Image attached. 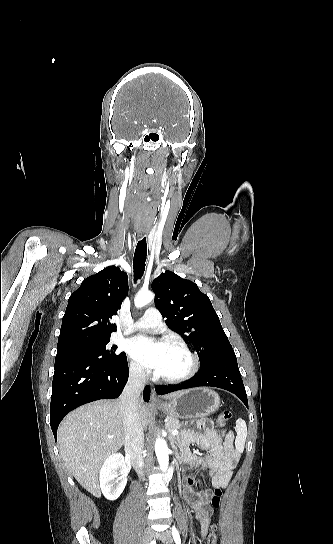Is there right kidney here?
I'll return each mask as SVG.
<instances>
[{"mask_svg": "<svg viewBox=\"0 0 333 544\" xmlns=\"http://www.w3.org/2000/svg\"><path fill=\"white\" fill-rule=\"evenodd\" d=\"M99 478L104 497L108 500L117 499L127 483L124 457L119 453L110 455L101 467Z\"/></svg>", "mask_w": 333, "mask_h": 544, "instance_id": "right-kidney-1", "label": "right kidney"}]
</instances>
